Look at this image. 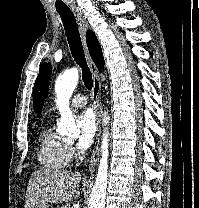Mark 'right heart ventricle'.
Instances as JSON below:
<instances>
[{
  "label": "right heart ventricle",
  "instance_id": "right-heart-ventricle-1",
  "mask_svg": "<svg viewBox=\"0 0 199 208\" xmlns=\"http://www.w3.org/2000/svg\"><path fill=\"white\" fill-rule=\"evenodd\" d=\"M37 157L40 164L51 171L66 168L71 159L68 143L49 126L40 135Z\"/></svg>",
  "mask_w": 199,
  "mask_h": 208
}]
</instances>
